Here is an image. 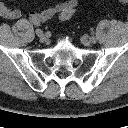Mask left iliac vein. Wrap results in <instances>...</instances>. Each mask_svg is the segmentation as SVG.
<instances>
[{
  "mask_svg": "<svg viewBox=\"0 0 128 128\" xmlns=\"http://www.w3.org/2000/svg\"><path fill=\"white\" fill-rule=\"evenodd\" d=\"M81 42L85 46H89L92 43V41L90 39L86 38V37H82Z\"/></svg>",
  "mask_w": 128,
  "mask_h": 128,
  "instance_id": "1",
  "label": "left iliac vein"
}]
</instances>
